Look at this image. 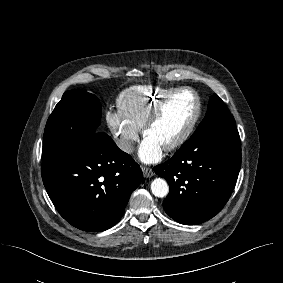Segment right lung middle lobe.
<instances>
[{
    "label": "right lung middle lobe",
    "mask_w": 283,
    "mask_h": 283,
    "mask_svg": "<svg viewBox=\"0 0 283 283\" xmlns=\"http://www.w3.org/2000/svg\"><path fill=\"white\" fill-rule=\"evenodd\" d=\"M101 114V104L95 95L82 90L65 92L45 127L43 163L52 162L77 143L91 141L98 133Z\"/></svg>",
    "instance_id": "right-lung-middle-lobe-1"
}]
</instances>
